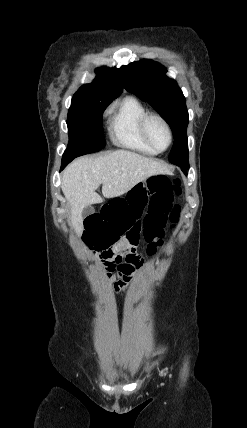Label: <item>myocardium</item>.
Instances as JSON below:
<instances>
[{
	"instance_id": "myocardium-1",
	"label": "myocardium",
	"mask_w": 247,
	"mask_h": 428,
	"mask_svg": "<svg viewBox=\"0 0 247 428\" xmlns=\"http://www.w3.org/2000/svg\"><path fill=\"white\" fill-rule=\"evenodd\" d=\"M152 120H157L160 123H162V125L165 127V129L168 133L169 141H168L167 146L164 149L157 148L155 146V144L153 143L151 137H150L149 124ZM141 133H142L144 140L147 142V144L150 147H152L155 151H157L158 153L168 150L170 148V146L172 145V142H173L172 129H171L169 123L167 122V120L163 116H161L160 114L148 113L141 121Z\"/></svg>"
}]
</instances>
